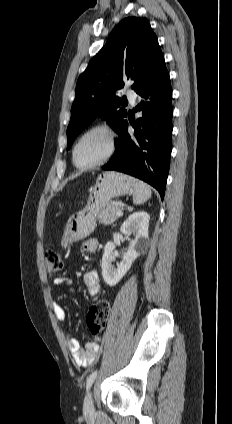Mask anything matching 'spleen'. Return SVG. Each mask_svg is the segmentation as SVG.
Listing matches in <instances>:
<instances>
[{"label": "spleen", "mask_w": 232, "mask_h": 424, "mask_svg": "<svg viewBox=\"0 0 232 424\" xmlns=\"http://www.w3.org/2000/svg\"><path fill=\"white\" fill-rule=\"evenodd\" d=\"M152 191L151 188L142 181H136L133 190V203L140 205L145 203L149 198H151Z\"/></svg>", "instance_id": "1"}]
</instances>
